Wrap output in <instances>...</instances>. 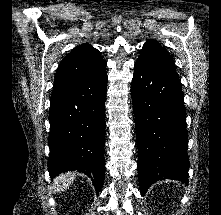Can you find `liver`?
Here are the masks:
<instances>
[{"label": "liver", "mask_w": 221, "mask_h": 215, "mask_svg": "<svg viewBox=\"0 0 221 215\" xmlns=\"http://www.w3.org/2000/svg\"><path fill=\"white\" fill-rule=\"evenodd\" d=\"M76 178V173L68 172L57 177L53 182V191L61 192L67 190Z\"/></svg>", "instance_id": "liver-1"}]
</instances>
